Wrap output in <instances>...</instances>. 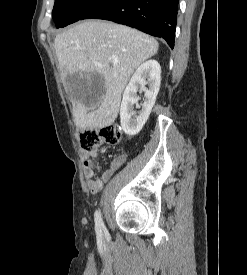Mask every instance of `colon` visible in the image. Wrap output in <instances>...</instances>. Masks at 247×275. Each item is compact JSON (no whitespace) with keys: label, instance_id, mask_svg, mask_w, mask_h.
I'll return each instance as SVG.
<instances>
[{"label":"colon","instance_id":"5ec220e1","mask_svg":"<svg viewBox=\"0 0 247 275\" xmlns=\"http://www.w3.org/2000/svg\"><path fill=\"white\" fill-rule=\"evenodd\" d=\"M122 138L118 125H107L99 129H84L78 134V144L83 151L95 154L103 144H117Z\"/></svg>","mask_w":247,"mask_h":275}]
</instances>
